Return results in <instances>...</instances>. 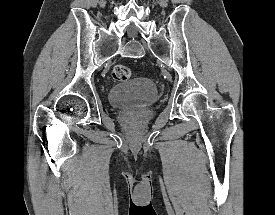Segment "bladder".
<instances>
[{
  "instance_id": "1",
  "label": "bladder",
  "mask_w": 275,
  "mask_h": 215,
  "mask_svg": "<svg viewBox=\"0 0 275 215\" xmlns=\"http://www.w3.org/2000/svg\"><path fill=\"white\" fill-rule=\"evenodd\" d=\"M157 88L148 78H135L112 86L108 91L110 105L120 109L143 108L157 100Z\"/></svg>"
}]
</instances>
